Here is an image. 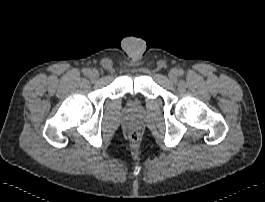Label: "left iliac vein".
Listing matches in <instances>:
<instances>
[{
    "mask_svg": "<svg viewBox=\"0 0 265 202\" xmlns=\"http://www.w3.org/2000/svg\"><path fill=\"white\" fill-rule=\"evenodd\" d=\"M169 79L173 82L176 81V79H177V71L176 70L173 69L169 72Z\"/></svg>",
    "mask_w": 265,
    "mask_h": 202,
    "instance_id": "obj_1",
    "label": "left iliac vein"
}]
</instances>
